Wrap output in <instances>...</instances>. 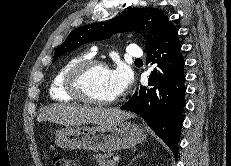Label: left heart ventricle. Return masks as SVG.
I'll return each instance as SVG.
<instances>
[{
    "instance_id": "left-heart-ventricle-1",
    "label": "left heart ventricle",
    "mask_w": 231,
    "mask_h": 166,
    "mask_svg": "<svg viewBox=\"0 0 231 166\" xmlns=\"http://www.w3.org/2000/svg\"><path fill=\"white\" fill-rule=\"evenodd\" d=\"M84 87L90 96L97 99L110 100L116 97L110 83L108 69L91 70L84 78Z\"/></svg>"
}]
</instances>
